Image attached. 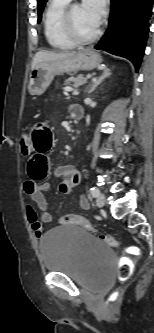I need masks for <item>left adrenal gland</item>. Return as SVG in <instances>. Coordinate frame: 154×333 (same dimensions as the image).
<instances>
[{"label": "left adrenal gland", "instance_id": "1", "mask_svg": "<svg viewBox=\"0 0 154 333\" xmlns=\"http://www.w3.org/2000/svg\"><path fill=\"white\" fill-rule=\"evenodd\" d=\"M110 75H111L110 69L105 68L103 74L98 79L93 80V84L91 85L88 93H92L96 89V87H98V85H100L104 81V79L110 77Z\"/></svg>", "mask_w": 154, "mask_h": 333}]
</instances>
